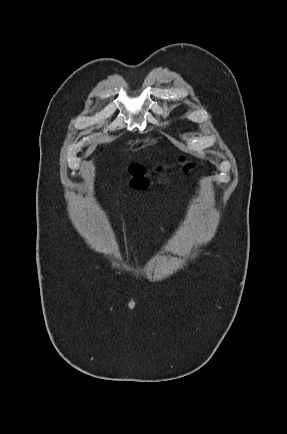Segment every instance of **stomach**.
<instances>
[{
  "mask_svg": "<svg viewBox=\"0 0 287 434\" xmlns=\"http://www.w3.org/2000/svg\"><path fill=\"white\" fill-rule=\"evenodd\" d=\"M145 142H147L148 145H154V144L157 142V139H156V138H153V137H147V138L145 139Z\"/></svg>",
  "mask_w": 287,
  "mask_h": 434,
  "instance_id": "stomach-1",
  "label": "stomach"
}]
</instances>
